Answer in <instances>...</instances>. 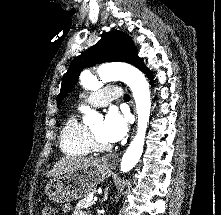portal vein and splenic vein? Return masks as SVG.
Segmentation results:
<instances>
[{"instance_id":"18ae733b","label":"portal vein and splenic vein","mask_w":221,"mask_h":215,"mask_svg":"<svg viewBox=\"0 0 221 215\" xmlns=\"http://www.w3.org/2000/svg\"><path fill=\"white\" fill-rule=\"evenodd\" d=\"M90 200L97 201V197H91Z\"/></svg>"}]
</instances>
